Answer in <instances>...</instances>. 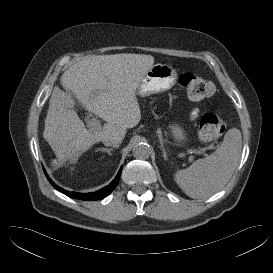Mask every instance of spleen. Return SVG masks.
<instances>
[{
    "label": "spleen",
    "instance_id": "1",
    "mask_svg": "<svg viewBox=\"0 0 273 273\" xmlns=\"http://www.w3.org/2000/svg\"><path fill=\"white\" fill-rule=\"evenodd\" d=\"M241 149L240 130L229 129L213 154L205 159L196 160L187 169L177 171L174 179L189 197L207 198L229 182L240 160Z\"/></svg>",
    "mask_w": 273,
    "mask_h": 273
}]
</instances>
